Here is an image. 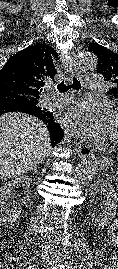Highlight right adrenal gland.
I'll use <instances>...</instances> for the list:
<instances>
[{"instance_id": "obj_1", "label": "right adrenal gland", "mask_w": 118, "mask_h": 269, "mask_svg": "<svg viewBox=\"0 0 118 269\" xmlns=\"http://www.w3.org/2000/svg\"><path fill=\"white\" fill-rule=\"evenodd\" d=\"M38 165L34 166V168L31 169V171H34V173H37Z\"/></svg>"}]
</instances>
